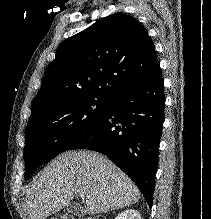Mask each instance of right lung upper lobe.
Returning a JSON list of instances; mask_svg holds the SVG:
<instances>
[{
    "label": "right lung upper lobe",
    "instance_id": "obj_1",
    "mask_svg": "<svg viewBox=\"0 0 211 219\" xmlns=\"http://www.w3.org/2000/svg\"><path fill=\"white\" fill-rule=\"evenodd\" d=\"M158 64L146 29L118 12L63 41L44 74L30 119L89 97L111 100Z\"/></svg>",
    "mask_w": 211,
    "mask_h": 219
}]
</instances>
